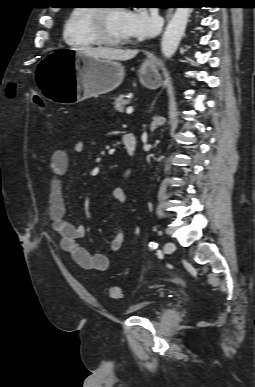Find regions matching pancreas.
<instances>
[{"instance_id":"pancreas-1","label":"pancreas","mask_w":255,"mask_h":387,"mask_svg":"<svg viewBox=\"0 0 255 387\" xmlns=\"http://www.w3.org/2000/svg\"><path fill=\"white\" fill-rule=\"evenodd\" d=\"M127 104H129V100L125 99V95L121 94L115 98L114 108L116 111L123 112Z\"/></svg>"}]
</instances>
